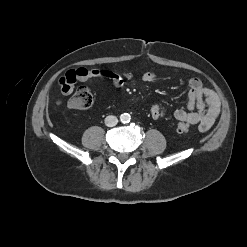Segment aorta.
<instances>
[{"label":"aorta","instance_id":"1","mask_svg":"<svg viewBox=\"0 0 247 247\" xmlns=\"http://www.w3.org/2000/svg\"><path fill=\"white\" fill-rule=\"evenodd\" d=\"M130 115L128 113H123L120 116V120L122 123H128L130 121Z\"/></svg>","mask_w":247,"mask_h":247}]
</instances>
